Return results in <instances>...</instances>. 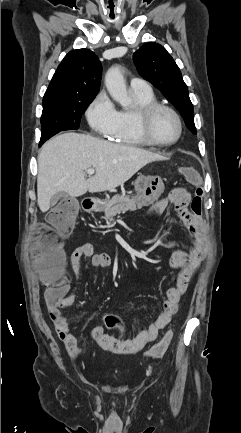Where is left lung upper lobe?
Wrapping results in <instances>:
<instances>
[{
	"mask_svg": "<svg viewBox=\"0 0 241 433\" xmlns=\"http://www.w3.org/2000/svg\"><path fill=\"white\" fill-rule=\"evenodd\" d=\"M139 74L155 87L180 111L186 126L196 134L194 109L188 88L182 79L179 67L160 44L150 42L133 55Z\"/></svg>",
	"mask_w": 241,
	"mask_h": 433,
	"instance_id": "5c2ea615",
	"label": "left lung upper lobe"
}]
</instances>
